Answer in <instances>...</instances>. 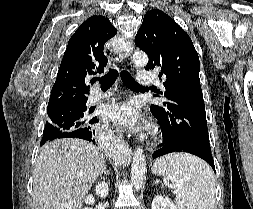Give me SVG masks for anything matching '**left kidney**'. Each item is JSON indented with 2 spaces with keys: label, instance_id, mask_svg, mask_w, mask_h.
<instances>
[{
  "label": "left kidney",
  "instance_id": "1",
  "mask_svg": "<svg viewBox=\"0 0 253 209\" xmlns=\"http://www.w3.org/2000/svg\"><path fill=\"white\" fill-rule=\"evenodd\" d=\"M152 209H178V208L168 197L158 195L152 201Z\"/></svg>",
  "mask_w": 253,
  "mask_h": 209
}]
</instances>
